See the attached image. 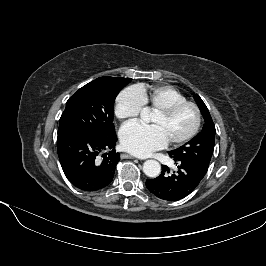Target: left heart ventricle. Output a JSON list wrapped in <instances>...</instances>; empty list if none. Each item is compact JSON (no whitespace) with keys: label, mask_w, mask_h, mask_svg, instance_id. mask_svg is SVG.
<instances>
[{"label":"left heart ventricle","mask_w":266,"mask_h":266,"mask_svg":"<svg viewBox=\"0 0 266 266\" xmlns=\"http://www.w3.org/2000/svg\"><path fill=\"white\" fill-rule=\"evenodd\" d=\"M151 122L163 131L168 141H172L189 133L195 122V114L191 108L187 107L170 117L154 113Z\"/></svg>","instance_id":"left-heart-ventricle-1"}]
</instances>
